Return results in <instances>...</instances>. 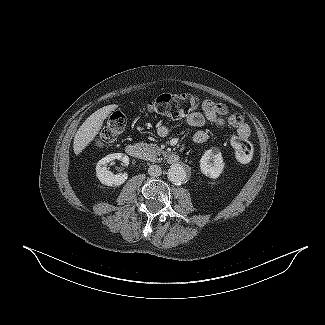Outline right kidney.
I'll use <instances>...</instances> for the list:
<instances>
[{
	"instance_id": "ca27d5eb",
	"label": "right kidney",
	"mask_w": 325,
	"mask_h": 325,
	"mask_svg": "<svg viewBox=\"0 0 325 325\" xmlns=\"http://www.w3.org/2000/svg\"><path fill=\"white\" fill-rule=\"evenodd\" d=\"M115 159L121 160L125 166L129 164V157L126 154L113 153L99 160L96 165V176L104 185L119 186L128 178L127 173L113 174L111 171L107 170V163Z\"/></svg>"
}]
</instances>
